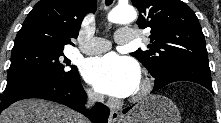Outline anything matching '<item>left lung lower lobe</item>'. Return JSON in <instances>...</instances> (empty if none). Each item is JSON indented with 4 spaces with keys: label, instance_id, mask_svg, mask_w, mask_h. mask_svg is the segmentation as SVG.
<instances>
[{
    "label": "left lung lower lobe",
    "instance_id": "obj_1",
    "mask_svg": "<svg viewBox=\"0 0 221 123\" xmlns=\"http://www.w3.org/2000/svg\"><path fill=\"white\" fill-rule=\"evenodd\" d=\"M175 81H191L206 87L213 93L210 68L197 65H182L163 71L155 80L152 92ZM131 107L123 110L126 113Z\"/></svg>",
    "mask_w": 221,
    "mask_h": 123
}]
</instances>
